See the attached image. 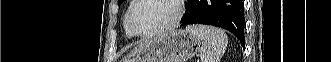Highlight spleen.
Segmentation results:
<instances>
[{
	"instance_id": "3e777b00",
	"label": "spleen",
	"mask_w": 331,
	"mask_h": 62,
	"mask_svg": "<svg viewBox=\"0 0 331 62\" xmlns=\"http://www.w3.org/2000/svg\"><path fill=\"white\" fill-rule=\"evenodd\" d=\"M186 30L201 41V62H219L228 43L227 35L222 30L203 25H190Z\"/></svg>"
}]
</instances>
